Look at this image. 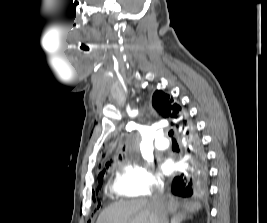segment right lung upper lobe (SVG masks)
Returning <instances> with one entry per match:
<instances>
[{"mask_svg":"<svg viewBox=\"0 0 267 223\" xmlns=\"http://www.w3.org/2000/svg\"><path fill=\"white\" fill-rule=\"evenodd\" d=\"M152 105L159 115L167 119L179 133L183 134L188 126L194 127L186 110L174 102L169 94L157 90L153 94ZM103 173L99 174V178L103 176Z\"/></svg>","mask_w":267,"mask_h":223,"instance_id":"1","label":"right lung upper lobe"}]
</instances>
